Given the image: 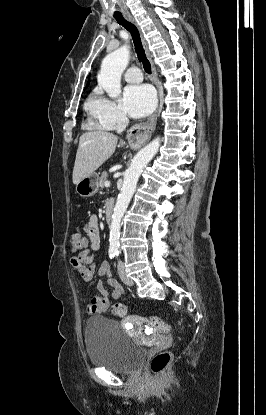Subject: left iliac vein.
I'll return each mask as SVG.
<instances>
[{
  "mask_svg": "<svg viewBox=\"0 0 266 415\" xmlns=\"http://www.w3.org/2000/svg\"><path fill=\"white\" fill-rule=\"evenodd\" d=\"M118 274L122 280V282L128 286L133 285V280L127 276L126 272H125V268L122 262H118Z\"/></svg>",
  "mask_w": 266,
  "mask_h": 415,
  "instance_id": "4c4485c4",
  "label": "left iliac vein"
}]
</instances>
